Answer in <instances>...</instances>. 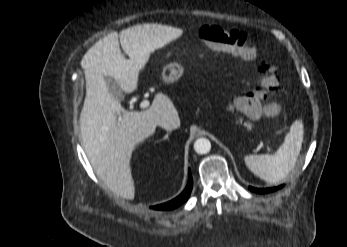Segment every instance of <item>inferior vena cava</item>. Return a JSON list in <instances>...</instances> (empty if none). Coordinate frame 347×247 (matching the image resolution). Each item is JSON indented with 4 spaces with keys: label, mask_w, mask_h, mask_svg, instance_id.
Returning <instances> with one entry per match:
<instances>
[{
    "label": "inferior vena cava",
    "mask_w": 347,
    "mask_h": 247,
    "mask_svg": "<svg viewBox=\"0 0 347 247\" xmlns=\"http://www.w3.org/2000/svg\"><path fill=\"white\" fill-rule=\"evenodd\" d=\"M158 125L167 131H171L179 126V122L173 117L164 116L158 121Z\"/></svg>",
    "instance_id": "602c4592"
}]
</instances>
